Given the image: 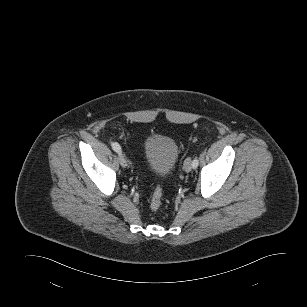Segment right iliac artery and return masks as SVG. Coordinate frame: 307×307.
I'll return each mask as SVG.
<instances>
[{
	"mask_svg": "<svg viewBox=\"0 0 307 307\" xmlns=\"http://www.w3.org/2000/svg\"><path fill=\"white\" fill-rule=\"evenodd\" d=\"M112 149L119 154L122 153L121 146L117 142L112 143Z\"/></svg>",
	"mask_w": 307,
	"mask_h": 307,
	"instance_id": "right-iliac-artery-1",
	"label": "right iliac artery"
}]
</instances>
